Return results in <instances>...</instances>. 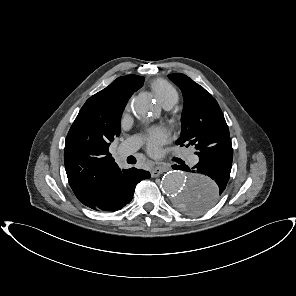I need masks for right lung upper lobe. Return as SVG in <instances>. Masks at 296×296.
Segmentation results:
<instances>
[{
  "instance_id": "obj_1",
  "label": "right lung upper lobe",
  "mask_w": 296,
  "mask_h": 296,
  "mask_svg": "<svg viewBox=\"0 0 296 296\" xmlns=\"http://www.w3.org/2000/svg\"><path fill=\"white\" fill-rule=\"evenodd\" d=\"M142 85L140 76L117 78L86 101L68 132L65 169L74 194L86 206L123 171L109 153V146L120 134L128 99Z\"/></svg>"
}]
</instances>
